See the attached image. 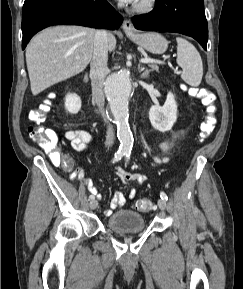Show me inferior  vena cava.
<instances>
[{
	"label": "inferior vena cava",
	"mask_w": 243,
	"mask_h": 289,
	"mask_svg": "<svg viewBox=\"0 0 243 289\" xmlns=\"http://www.w3.org/2000/svg\"><path fill=\"white\" fill-rule=\"evenodd\" d=\"M108 34L104 29L97 30L94 37L93 58L90 64V78L92 85V97L102 112L103 119L108 123L104 114V93L103 85L105 77L108 73ZM115 139L114 129L108 124L106 133V146L113 145Z\"/></svg>",
	"instance_id": "1"
}]
</instances>
